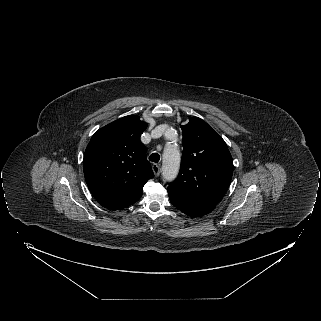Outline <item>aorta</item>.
Here are the masks:
<instances>
[{"mask_svg":"<svg viewBox=\"0 0 321 321\" xmlns=\"http://www.w3.org/2000/svg\"><path fill=\"white\" fill-rule=\"evenodd\" d=\"M170 138L176 136V131L171 129L167 131ZM181 155L179 149L174 144H167L162 159V176L166 181H173L179 172Z\"/></svg>","mask_w":321,"mask_h":321,"instance_id":"obj_1","label":"aorta"}]
</instances>
